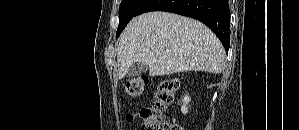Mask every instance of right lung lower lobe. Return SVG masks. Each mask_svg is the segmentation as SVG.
<instances>
[{"label":"right lung lower lobe","instance_id":"98d812e1","mask_svg":"<svg viewBox=\"0 0 299 130\" xmlns=\"http://www.w3.org/2000/svg\"><path fill=\"white\" fill-rule=\"evenodd\" d=\"M149 11H166L191 17L207 25L220 39L226 52L230 46L228 0H147L136 16Z\"/></svg>","mask_w":299,"mask_h":130}]
</instances>
